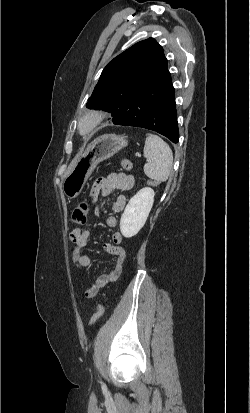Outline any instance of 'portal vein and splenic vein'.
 <instances>
[{
    "label": "portal vein and splenic vein",
    "mask_w": 250,
    "mask_h": 413,
    "mask_svg": "<svg viewBox=\"0 0 250 413\" xmlns=\"http://www.w3.org/2000/svg\"><path fill=\"white\" fill-rule=\"evenodd\" d=\"M136 156H137V157H141V155H140V154H136Z\"/></svg>",
    "instance_id": "1"
}]
</instances>
